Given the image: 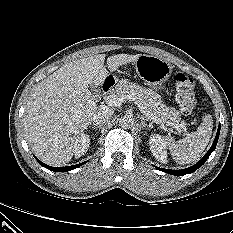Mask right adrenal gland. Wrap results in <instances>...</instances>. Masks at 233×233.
Returning a JSON list of instances; mask_svg holds the SVG:
<instances>
[{"label":"right adrenal gland","instance_id":"2a0ac1e0","mask_svg":"<svg viewBox=\"0 0 233 233\" xmlns=\"http://www.w3.org/2000/svg\"><path fill=\"white\" fill-rule=\"evenodd\" d=\"M92 128H93V129H100L101 126L93 125Z\"/></svg>","mask_w":233,"mask_h":233}]
</instances>
